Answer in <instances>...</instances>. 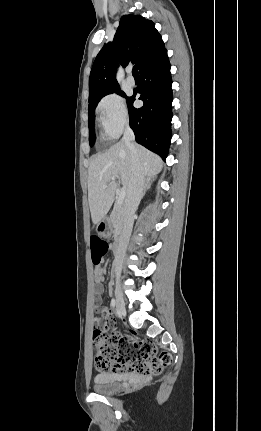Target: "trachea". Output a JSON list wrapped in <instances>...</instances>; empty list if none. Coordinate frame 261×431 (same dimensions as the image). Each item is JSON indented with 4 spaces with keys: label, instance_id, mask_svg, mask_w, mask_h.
Wrapping results in <instances>:
<instances>
[{
    "label": "trachea",
    "instance_id": "obj_1",
    "mask_svg": "<svg viewBox=\"0 0 261 431\" xmlns=\"http://www.w3.org/2000/svg\"><path fill=\"white\" fill-rule=\"evenodd\" d=\"M132 74H133V76H138L139 75L136 66L133 67Z\"/></svg>",
    "mask_w": 261,
    "mask_h": 431
}]
</instances>
